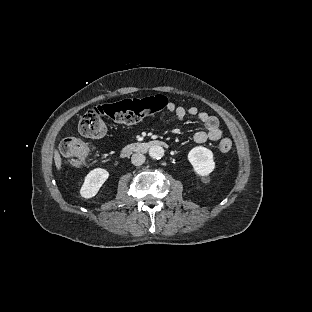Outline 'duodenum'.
Wrapping results in <instances>:
<instances>
[{
  "label": "duodenum",
  "instance_id": "410a0bca",
  "mask_svg": "<svg viewBox=\"0 0 312 312\" xmlns=\"http://www.w3.org/2000/svg\"><path fill=\"white\" fill-rule=\"evenodd\" d=\"M156 146L167 147L168 143L159 139H150L146 141L131 143L126 145L122 149L121 155L123 157H127L134 153H145Z\"/></svg>",
  "mask_w": 312,
  "mask_h": 312
}]
</instances>
